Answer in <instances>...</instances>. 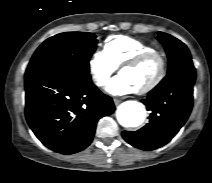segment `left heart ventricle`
<instances>
[{
  "label": "left heart ventricle",
  "mask_w": 212,
  "mask_h": 183,
  "mask_svg": "<svg viewBox=\"0 0 212 183\" xmlns=\"http://www.w3.org/2000/svg\"><path fill=\"white\" fill-rule=\"evenodd\" d=\"M159 69V60L151 58L137 67L123 70L120 74L138 90L150 84L158 75Z\"/></svg>",
  "instance_id": "left-heart-ventricle-1"
}]
</instances>
